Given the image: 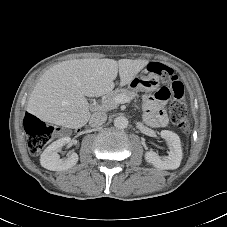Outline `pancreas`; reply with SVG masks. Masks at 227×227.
Listing matches in <instances>:
<instances>
[{
	"instance_id": "pancreas-1",
	"label": "pancreas",
	"mask_w": 227,
	"mask_h": 227,
	"mask_svg": "<svg viewBox=\"0 0 227 227\" xmlns=\"http://www.w3.org/2000/svg\"><path fill=\"white\" fill-rule=\"evenodd\" d=\"M117 96H125L130 100H132L138 97V94L127 89H119V90L112 91L103 97L99 109L101 111H110L112 109L117 108L118 103L115 101V98Z\"/></svg>"
}]
</instances>
